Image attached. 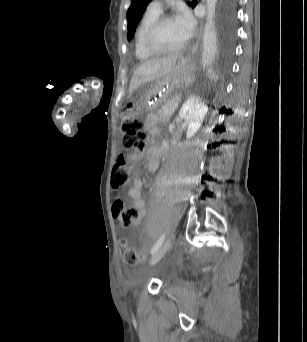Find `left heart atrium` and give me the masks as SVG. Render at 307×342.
Segmentation results:
<instances>
[{
    "mask_svg": "<svg viewBox=\"0 0 307 342\" xmlns=\"http://www.w3.org/2000/svg\"><path fill=\"white\" fill-rule=\"evenodd\" d=\"M177 24L184 40H190L195 32V22L193 18L188 14L182 15L178 19Z\"/></svg>",
    "mask_w": 307,
    "mask_h": 342,
    "instance_id": "obj_1",
    "label": "left heart atrium"
}]
</instances>
